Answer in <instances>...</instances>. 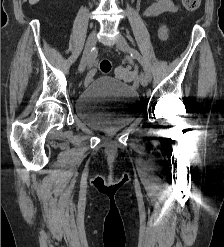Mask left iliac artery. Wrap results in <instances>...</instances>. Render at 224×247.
Returning <instances> with one entry per match:
<instances>
[{
    "label": "left iliac artery",
    "mask_w": 224,
    "mask_h": 247,
    "mask_svg": "<svg viewBox=\"0 0 224 247\" xmlns=\"http://www.w3.org/2000/svg\"><path fill=\"white\" fill-rule=\"evenodd\" d=\"M131 55H132V57L136 58L140 62V64L142 65V67L144 69V72H145V75H146L148 81H151V79H152L151 72H150L144 58L141 56V54L137 50L132 49Z\"/></svg>",
    "instance_id": "1"
}]
</instances>
